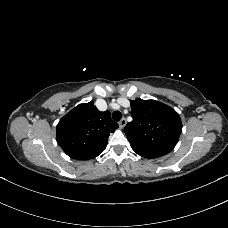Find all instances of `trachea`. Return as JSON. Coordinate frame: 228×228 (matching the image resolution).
Here are the masks:
<instances>
[{
  "instance_id": "1",
  "label": "trachea",
  "mask_w": 228,
  "mask_h": 228,
  "mask_svg": "<svg viewBox=\"0 0 228 228\" xmlns=\"http://www.w3.org/2000/svg\"><path fill=\"white\" fill-rule=\"evenodd\" d=\"M122 117V113L120 111H114L112 114V118L114 121H119Z\"/></svg>"
}]
</instances>
